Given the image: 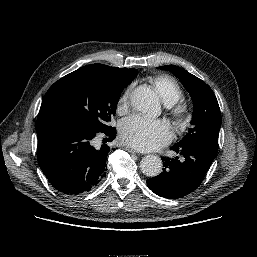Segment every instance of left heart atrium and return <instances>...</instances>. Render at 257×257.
I'll use <instances>...</instances> for the list:
<instances>
[{
  "label": "left heart atrium",
  "mask_w": 257,
  "mask_h": 257,
  "mask_svg": "<svg viewBox=\"0 0 257 257\" xmlns=\"http://www.w3.org/2000/svg\"><path fill=\"white\" fill-rule=\"evenodd\" d=\"M119 138L127 146L149 151L168 144L171 132L167 124L160 120L134 115L121 122Z\"/></svg>",
  "instance_id": "1"
}]
</instances>
